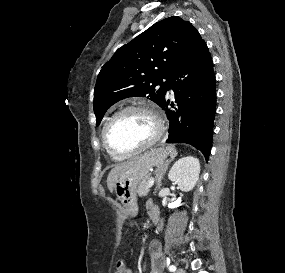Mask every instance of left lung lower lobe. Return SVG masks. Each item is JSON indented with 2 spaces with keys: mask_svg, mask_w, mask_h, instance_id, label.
I'll use <instances>...</instances> for the list:
<instances>
[{
  "mask_svg": "<svg viewBox=\"0 0 285 273\" xmlns=\"http://www.w3.org/2000/svg\"><path fill=\"white\" fill-rule=\"evenodd\" d=\"M216 80L211 55L199 32H192L189 45L173 71L168 90L175 94L160 107L170 121L169 143H188L209 158L216 109Z\"/></svg>",
  "mask_w": 285,
  "mask_h": 273,
  "instance_id": "0a47b994",
  "label": "left lung lower lobe"
}]
</instances>
